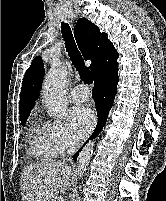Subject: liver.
<instances>
[{
	"instance_id": "obj_1",
	"label": "liver",
	"mask_w": 166,
	"mask_h": 201,
	"mask_svg": "<svg viewBox=\"0 0 166 201\" xmlns=\"http://www.w3.org/2000/svg\"><path fill=\"white\" fill-rule=\"evenodd\" d=\"M72 177V168L64 161H42L24 168L20 183L22 201H56L65 193Z\"/></svg>"
}]
</instances>
